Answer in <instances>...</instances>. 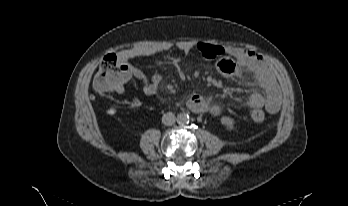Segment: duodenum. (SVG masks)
Here are the masks:
<instances>
[{"label": "duodenum", "instance_id": "duodenum-1", "mask_svg": "<svg viewBox=\"0 0 348 206\" xmlns=\"http://www.w3.org/2000/svg\"><path fill=\"white\" fill-rule=\"evenodd\" d=\"M206 109L205 108H201V109H198L196 110L197 112H204Z\"/></svg>", "mask_w": 348, "mask_h": 206}]
</instances>
